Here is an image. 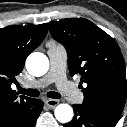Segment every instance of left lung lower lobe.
Here are the masks:
<instances>
[{"instance_id": "obj_1", "label": "left lung lower lobe", "mask_w": 127, "mask_h": 127, "mask_svg": "<svg viewBox=\"0 0 127 127\" xmlns=\"http://www.w3.org/2000/svg\"><path fill=\"white\" fill-rule=\"evenodd\" d=\"M75 116L64 127H115L119 117L93 110L84 105H73Z\"/></svg>"}]
</instances>
